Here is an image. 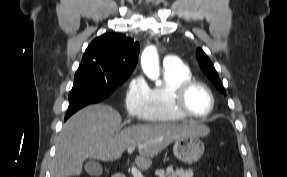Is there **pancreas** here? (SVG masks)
Masks as SVG:
<instances>
[{
	"instance_id": "cf45deb5",
	"label": "pancreas",
	"mask_w": 287,
	"mask_h": 177,
	"mask_svg": "<svg viewBox=\"0 0 287 177\" xmlns=\"http://www.w3.org/2000/svg\"><path fill=\"white\" fill-rule=\"evenodd\" d=\"M156 174L159 177H193V170H183L182 168L174 170L173 167L170 166L166 170H157Z\"/></svg>"
}]
</instances>
